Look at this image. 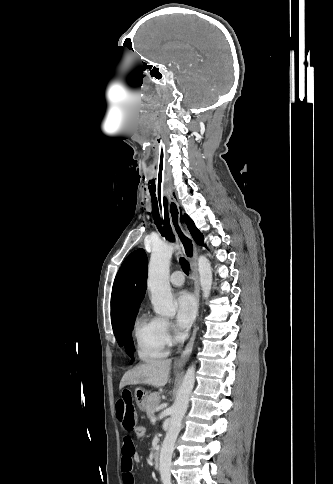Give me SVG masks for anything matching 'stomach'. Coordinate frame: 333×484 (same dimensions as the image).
<instances>
[{
	"label": "stomach",
	"mask_w": 333,
	"mask_h": 484,
	"mask_svg": "<svg viewBox=\"0 0 333 484\" xmlns=\"http://www.w3.org/2000/svg\"><path fill=\"white\" fill-rule=\"evenodd\" d=\"M134 394L138 407L141 410H145L147 398L149 396L148 393L143 388L139 387L135 390Z\"/></svg>",
	"instance_id": "obj_1"
}]
</instances>
